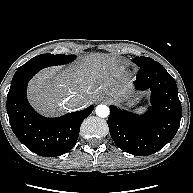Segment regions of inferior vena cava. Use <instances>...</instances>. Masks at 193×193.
Returning a JSON list of instances; mask_svg holds the SVG:
<instances>
[{
  "label": "inferior vena cava",
  "mask_w": 193,
  "mask_h": 193,
  "mask_svg": "<svg viewBox=\"0 0 193 193\" xmlns=\"http://www.w3.org/2000/svg\"><path fill=\"white\" fill-rule=\"evenodd\" d=\"M66 102H68V105L72 108L83 107L85 105L84 98L79 95L69 97Z\"/></svg>",
  "instance_id": "1"
}]
</instances>
